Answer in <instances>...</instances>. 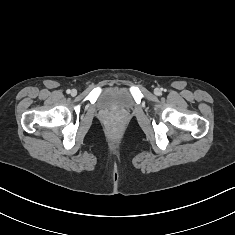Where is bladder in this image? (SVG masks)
Here are the masks:
<instances>
[{
    "label": "bladder",
    "mask_w": 235,
    "mask_h": 235,
    "mask_svg": "<svg viewBox=\"0 0 235 235\" xmlns=\"http://www.w3.org/2000/svg\"><path fill=\"white\" fill-rule=\"evenodd\" d=\"M98 105L110 111H130L134 107V100L127 89H111L100 94Z\"/></svg>",
    "instance_id": "obj_1"
}]
</instances>
